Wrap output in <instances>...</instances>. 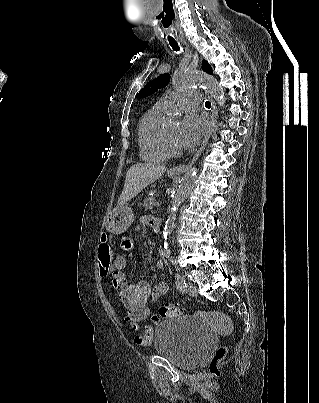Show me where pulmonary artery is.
<instances>
[{
  "label": "pulmonary artery",
  "mask_w": 319,
  "mask_h": 403,
  "mask_svg": "<svg viewBox=\"0 0 319 403\" xmlns=\"http://www.w3.org/2000/svg\"><path fill=\"white\" fill-rule=\"evenodd\" d=\"M200 103V93L196 90L185 89L166 94L158 99L156 105L167 111L191 108Z\"/></svg>",
  "instance_id": "1"
}]
</instances>
